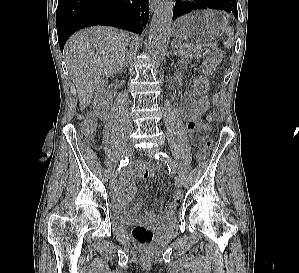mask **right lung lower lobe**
<instances>
[{
    "instance_id": "98d812e1",
    "label": "right lung lower lobe",
    "mask_w": 299,
    "mask_h": 273,
    "mask_svg": "<svg viewBox=\"0 0 299 273\" xmlns=\"http://www.w3.org/2000/svg\"><path fill=\"white\" fill-rule=\"evenodd\" d=\"M149 18L148 0H58L56 24L60 50L77 30L108 25L141 33Z\"/></svg>"
}]
</instances>
